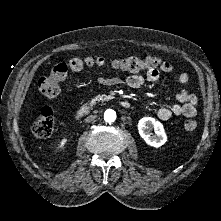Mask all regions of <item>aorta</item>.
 Instances as JSON below:
<instances>
[{
    "mask_svg": "<svg viewBox=\"0 0 221 221\" xmlns=\"http://www.w3.org/2000/svg\"><path fill=\"white\" fill-rule=\"evenodd\" d=\"M104 120L107 123H113L116 120V112L112 109H108L104 112Z\"/></svg>",
    "mask_w": 221,
    "mask_h": 221,
    "instance_id": "1",
    "label": "aorta"
}]
</instances>
